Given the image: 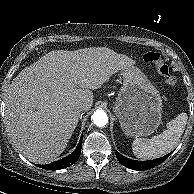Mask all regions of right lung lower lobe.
Here are the masks:
<instances>
[{"label":"right lung lower lobe","instance_id":"98d812e1","mask_svg":"<svg viewBox=\"0 0 194 194\" xmlns=\"http://www.w3.org/2000/svg\"><path fill=\"white\" fill-rule=\"evenodd\" d=\"M82 138L83 137L81 136L79 144L72 154L68 155L67 157H65L61 160L52 162L50 164L39 165V167H41L43 169H48V170H59V169L66 168V167H69L72 164H74L80 156L81 147H82Z\"/></svg>","mask_w":194,"mask_h":194}]
</instances>
